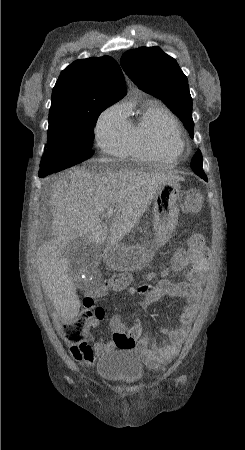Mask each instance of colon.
Returning a JSON list of instances; mask_svg holds the SVG:
<instances>
[{"instance_id":"obj_1","label":"colon","mask_w":245,"mask_h":450,"mask_svg":"<svg viewBox=\"0 0 245 450\" xmlns=\"http://www.w3.org/2000/svg\"><path fill=\"white\" fill-rule=\"evenodd\" d=\"M182 210L189 214H195L201 211L204 205L202 194L197 189L186 190L181 197ZM188 247L202 255L209 256V250L206 246L204 236L199 232H191L187 235ZM131 274L127 271L116 272L104 280V286L107 288L124 287L131 282ZM85 310L80 316L64 321L61 329L65 335L79 343L86 344L91 338V330L96 322L102 321L105 312L98 307H94L90 300L84 302ZM140 322L134 323L131 330L127 333H116L115 337L122 347L134 345L141 334Z\"/></svg>"}]
</instances>
